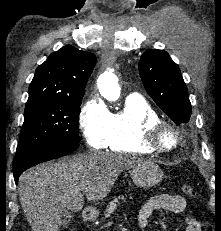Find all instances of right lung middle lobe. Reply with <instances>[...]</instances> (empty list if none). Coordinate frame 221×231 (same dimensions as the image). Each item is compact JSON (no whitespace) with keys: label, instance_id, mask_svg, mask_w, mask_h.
Segmentation results:
<instances>
[{"label":"right lung middle lobe","instance_id":"obj_1","mask_svg":"<svg viewBox=\"0 0 221 231\" xmlns=\"http://www.w3.org/2000/svg\"><path fill=\"white\" fill-rule=\"evenodd\" d=\"M81 98L26 103L14 162L36 149L79 146Z\"/></svg>","mask_w":221,"mask_h":231}]
</instances>
